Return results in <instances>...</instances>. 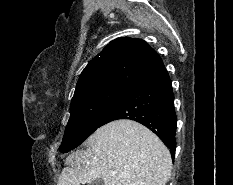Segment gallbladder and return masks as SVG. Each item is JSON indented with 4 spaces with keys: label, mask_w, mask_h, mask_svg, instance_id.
<instances>
[{
    "label": "gallbladder",
    "mask_w": 233,
    "mask_h": 185,
    "mask_svg": "<svg viewBox=\"0 0 233 185\" xmlns=\"http://www.w3.org/2000/svg\"><path fill=\"white\" fill-rule=\"evenodd\" d=\"M89 185H104V181L102 178H98L95 181L91 182Z\"/></svg>",
    "instance_id": "1"
}]
</instances>
